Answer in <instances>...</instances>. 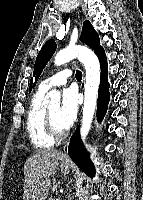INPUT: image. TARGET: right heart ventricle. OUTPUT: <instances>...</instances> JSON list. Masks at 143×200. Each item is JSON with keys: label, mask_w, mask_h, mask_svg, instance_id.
Here are the masks:
<instances>
[{"label": "right heart ventricle", "mask_w": 143, "mask_h": 200, "mask_svg": "<svg viewBox=\"0 0 143 200\" xmlns=\"http://www.w3.org/2000/svg\"><path fill=\"white\" fill-rule=\"evenodd\" d=\"M46 91L38 89L33 95L26 117V130L29 142L36 149H46L53 146L54 141L48 137L44 128V96Z\"/></svg>", "instance_id": "right-heart-ventricle-1"}]
</instances>
